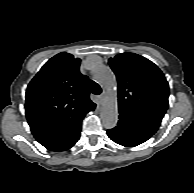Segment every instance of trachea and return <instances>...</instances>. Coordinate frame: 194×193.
<instances>
[{"instance_id": "3493384b", "label": "trachea", "mask_w": 194, "mask_h": 193, "mask_svg": "<svg viewBox=\"0 0 194 193\" xmlns=\"http://www.w3.org/2000/svg\"><path fill=\"white\" fill-rule=\"evenodd\" d=\"M89 87L90 91L95 95H99L102 92L101 87L94 81H90Z\"/></svg>"}]
</instances>
